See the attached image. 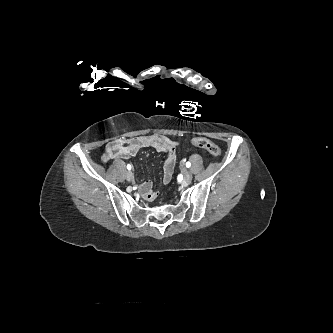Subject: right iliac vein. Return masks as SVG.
I'll use <instances>...</instances> for the list:
<instances>
[{"instance_id":"right-iliac-vein-1","label":"right iliac vein","mask_w":333,"mask_h":333,"mask_svg":"<svg viewBox=\"0 0 333 333\" xmlns=\"http://www.w3.org/2000/svg\"><path fill=\"white\" fill-rule=\"evenodd\" d=\"M126 179L131 181L133 179V173L131 171L126 172Z\"/></svg>"}]
</instances>
